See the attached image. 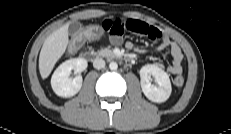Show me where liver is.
<instances>
[{
    "mask_svg": "<svg viewBox=\"0 0 231 134\" xmlns=\"http://www.w3.org/2000/svg\"><path fill=\"white\" fill-rule=\"evenodd\" d=\"M68 28V23L63 25L50 34L43 43L39 55V71L43 79L50 75L56 62L67 48L69 43Z\"/></svg>",
    "mask_w": 231,
    "mask_h": 134,
    "instance_id": "1",
    "label": "liver"
}]
</instances>
